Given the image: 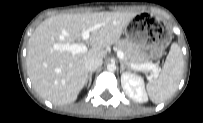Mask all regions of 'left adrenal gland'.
<instances>
[{
  "label": "left adrenal gland",
  "mask_w": 203,
  "mask_h": 123,
  "mask_svg": "<svg viewBox=\"0 0 203 123\" xmlns=\"http://www.w3.org/2000/svg\"><path fill=\"white\" fill-rule=\"evenodd\" d=\"M129 69L122 60H120V72H123V70Z\"/></svg>",
  "instance_id": "1"
}]
</instances>
